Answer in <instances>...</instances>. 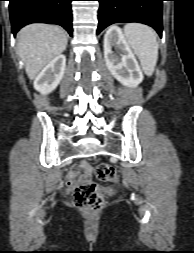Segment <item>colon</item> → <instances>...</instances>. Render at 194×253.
Listing matches in <instances>:
<instances>
[{
	"label": "colon",
	"mask_w": 194,
	"mask_h": 253,
	"mask_svg": "<svg viewBox=\"0 0 194 253\" xmlns=\"http://www.w3.org/2000/svg\"><path fill=\"white\" fill-rule=\"evenodd\" d=\"M87 176L95 174L101 181L116 182L118 174L116 170L108 164H99L95 167L87 163H82ZM73 204L75 207L86 211H98L105 205V196L98 190L95 184H84L74 189Z\"/></svg>",
	"instance_id": "colon-1"
}]
</instances>
